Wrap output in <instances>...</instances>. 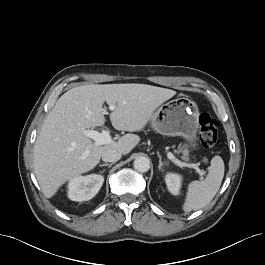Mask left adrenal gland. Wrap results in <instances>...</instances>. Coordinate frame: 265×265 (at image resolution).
Here are the masks:
<instances>
[{"mask_svg":"<svg viewBox=\"0 0 265 265\" xmlns=\"http://www.w3.org/2000/svg\"><path fill=\"white\" fill-rule=\"evenodd\" d=\"M158 157H159V170L163 171L162 167L163 165H167V162H162V158L159 154H158Z\"/></svg>","mask_w":265,"mask_h":265,"instance_id":"obj_1","label":"left adrenal gland"}]
</instances>
